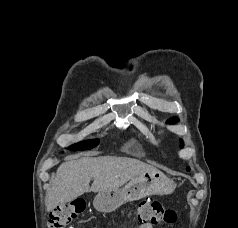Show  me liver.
Here are the masks:
<instances>
[{"mask_svg": "<svg viewBox=\"0 0 238 228\" xmlns=\"http://www.w3.org/2000/svg\"><path fill=\"white\" fill-rule=\"evenodd\" d=\"M155 170L147 163L128 157H81L65 162L57 169L46 199L47 211L70 202L85 192L118 189L145 172ZM93 183L90 187V181Z\"/></svg>", "mask_w": 238, "mask_h": 228, "instance_id": "1", "label": "liver"}]
</instances>
